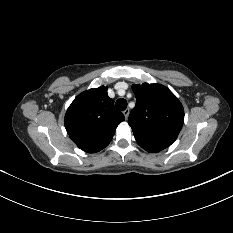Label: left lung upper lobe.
Wrapping results in <instances>:
<instances>
[{"label":"left lung upper lobe","mask_w":233,"mask_h":233,"mask_svg":"<svg viewBox=\"0 0 233 233\" xmlns=\"http://www.w3.org/2000/svg\"><path fill=\"white\" fill-rule=\"evenodd\" d=\"M132 89L137 102L128 123L138 144L171 145L184 122V109L178 98L160 84L143 83Z\"/></svg>","instance_id":"5c2ea615"}]
</instances>
